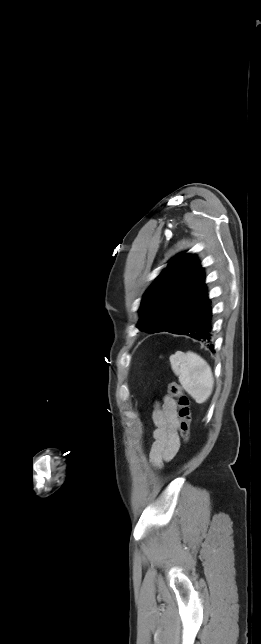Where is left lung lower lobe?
Segmentation results:
<instances>
[{
	"mask_svg": "<svg viewBox=\"0 0 261 644\" xmlns=\"http://www.w3.org/2000/svg\"><path fill=\"white\" fill-rule=\"evenodd\" d=\"M173 334L187 335L196 339L213 350L212 344V308L207 299L180 325L168 331Z\"/></svg>",
	"mask_w": 261,
	"mask_h": 644,
	"instance_id": "left-lung-lower-lobe-1",
	"label": "left lung lower lobe"
}]
</instances>
